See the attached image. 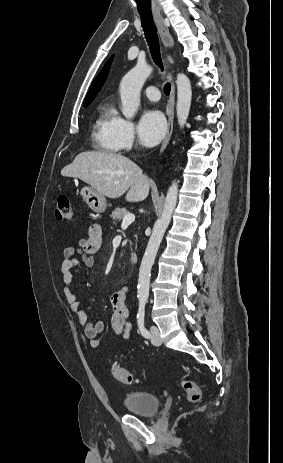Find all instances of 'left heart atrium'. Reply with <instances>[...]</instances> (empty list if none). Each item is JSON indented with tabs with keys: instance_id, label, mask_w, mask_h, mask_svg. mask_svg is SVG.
<instances>
[{
	"instance_id": "39dd6f15",
	"label": "left heart atrium",
	"mask_w": 283,
	"mask_h": 463,
	"mask_svg": "<svg viewBox=\"0 0 283 463\" xmlns=\"http://www.w3.org/2000/svg\"><path fill=\"white\" fill-rule=\"evenodd\" d=\"M166 120L158 110L145 111L139 120L137 132L145 146L158 144L166 132Z\"/></svg>"
}]
</instances>
